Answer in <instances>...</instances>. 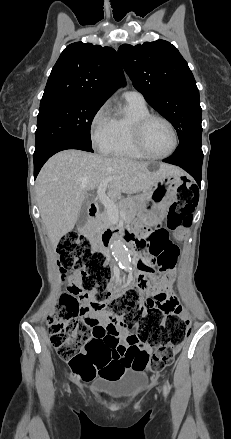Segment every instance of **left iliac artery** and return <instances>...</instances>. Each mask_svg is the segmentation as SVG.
I'll return each instance as SVG.
<instances>
[{
	"label": "left iliac artery",
	"instance_id": "left-iliac-artery-1",
	"mask_svg": "<svg viewBox=\"0 0 231 439\" xmlns=\"http://www.w3.org/2000/svg\"><path fill=\"white\" fill-rule=\"evenodd\" d=\"M168 393H169V390H168L167 384L165 383V384H164L163 394H164V396L166 397V396L168 395Z\"/></svg>",
	"mask_w": 231,
	"mask_h": 439
}]
</instances>
